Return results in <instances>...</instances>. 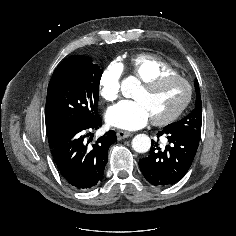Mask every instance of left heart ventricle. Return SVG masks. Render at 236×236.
I'll return each mask as SVG.
<instances>
[{
	"label": "left heart ventricle",
	"mask_w": 236,
	"mask_h": 236,
	"mask_svg": "<svg viewBox=\"0 0 236 236\" xmlns=\"http://www.w3.org/2000/svg\"><path fill=\"white\" fill-rule=\"evenodd\" d=\"M186 95L187 89L183 82L170 80L152 90L141 87L135 99L145 104L151 118H161L176 110Z\"/></svg>",
	"instance_id": "b2bd125f"
}]
</instances>
